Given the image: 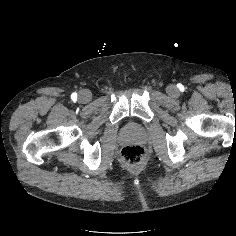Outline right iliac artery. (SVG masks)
I'll list each match as a JSON object with an SVG mask.
<instances>
[{
	"mask_svg": "<svg viewBox=\"0 0 236 236\" xmlns=\"http://www.w3.org/2000/svg\"><path fill=\"white\" fill-rule=\"evenodd\" d=\"M71 98H72L73 100L77 99V93H72Z\"/></svg>",
	"mask_w": 236,
	"mask_h": 236,
	"instance_id": "1",
	"label": "right iliac artery"
}]
</instances>
